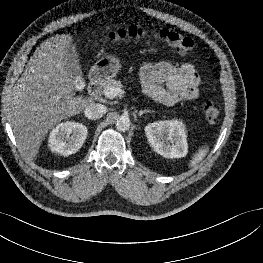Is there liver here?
<instances>
[{
  "label": "liver",
  "instance_id": "obj_1",
  "mask_svg": "<svg viewBox=\"0 0 263 263\" xmlns=\"http://www.w3.org/2000/svg\"><path fill=\"white\" fill-rule=\"evenodd\" d=\"M72 42L67 34L44 41L15 86L11 101L13 131L19 149L31 160L50 129L91 103L75 97L74 80L64 66L67 49L76 50Z\"/></svg>",
  "mask_w": 263,
  "mask_h": 263
}]
</instances>
